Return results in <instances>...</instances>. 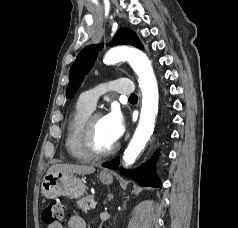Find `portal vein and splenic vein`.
<instances>
[{
  "instance_id": "18ae733b",
  "label": "portal vein and splenic vein",
  "mask_w": 238,
  "mask_h": 228,
  "mask_svg": "<svg viewBox=\"0 0 238 228\" xmlns=\"http://www.w3.org/2000/svg\"><path fill=\"white\" fill-rule=\"evenodd\" d=\"M96 202L94 201V200H92L91 202H90V206L92 207V208H95L96 207Z\"/></svg>"
}]
</instances>
